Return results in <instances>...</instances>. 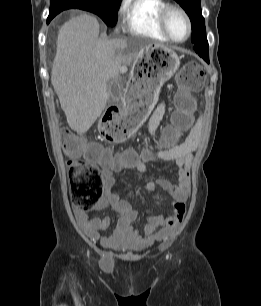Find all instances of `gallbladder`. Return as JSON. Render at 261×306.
I'll return each mask as SVG.
<instances>
[{
	"mask_svg": "<svg viewBox=\"0 0 261 306\" xmlns=\"http://www.w3.org/2000/svg\"><path fill=\"white\" fill-rule=\"evenodd\" d=\"M107 86L110 92V99L108 100V103L112 104L120 99L122 88L119 83L113 80L108 81Z\"/></svg>",
	"mask_w": 261,
	"mask_h": 306,
	"instance_id": "gallbladder-1",
	"label": "gallbladder"
}]
</instances>
